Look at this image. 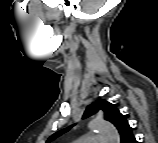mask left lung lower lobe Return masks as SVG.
<instances>
[{
  "label": "left lung lower lobe",
  "instance_id": "obj_1",
  "mask_svg": "<svg viewBox=\"0 0 158 143\" xmlns=\"http://www.w3.org/2000/svg\"><path fill=\"white\" fill-rule=\"evenodd\" d=\"M124 143H136V139L133 135L129 136Z\"/></svg>",
  "mask_w": 158,
  "mask_h": 143
}]
</instances>
